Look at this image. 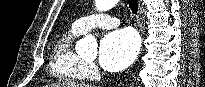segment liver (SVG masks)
<instances>
[{"mask_svg": "<svg viewBox=\"0 0 205 87\" xmlns=\"http://www.w3.org/2000/svg\"><path fill=\"white\" fill-rule=\"evenodd\" d=\"M49 87H91L86 84H75L74 82H62V83H56L51 84Z\"/></svg>", "mask_w": 205, "mask_h": 87, "instance_id": "obj_1", "label": "liver"}]
</instances>
